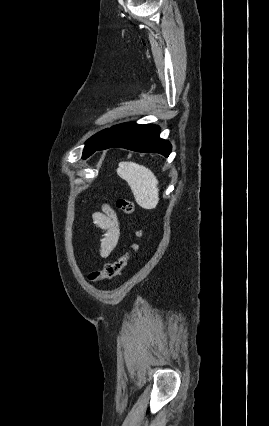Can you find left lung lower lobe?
Returning a JSON list of instances; mask_svg holds the SVG:
<instances>
[{
	"instance_id": "left-lung-lower-lobe-1",
	"label": "left lung lower lobe",
	"mask_w": 269,
	"mask_h": 426,
	"mask_svg": "<svg viewBox=\"0 0 269 426\" xmlns=\"http://www.w3.org/2000/svg\"><path fill=\"white\" fill-rule=\"evenodd\" d=\"M156 125H139L123 123L111 127L103 141L91 152L108 148H125L143 153H159L168 157L171 144L159 138ZM90 154V155H91Z\"/></svg>"
}]
</instances>
